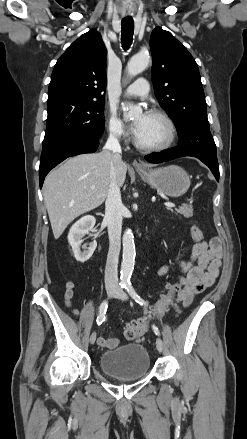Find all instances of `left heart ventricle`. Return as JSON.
<instances>
[{"instance_id":"1","label":"left heart ventricle","mask_w":247,"mask_h":439,"mask_svg":"<svg viewBox=\"0 0 247 439\" xmlns=\"http://www.w3.org/2000/svg\"><path fill=\"white\" fill-rule=\"evenodd\" d=\"M141 117H139L137 121L141 119ZM136 137L138 141L144 145H158L167 139L168 129L161 118L146 115L142 129Z\"/></svg>"}]
</instances>
